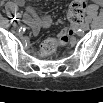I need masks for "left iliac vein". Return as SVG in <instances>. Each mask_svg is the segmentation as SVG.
<instances>
[{"label": "left iliac vein", "mask_w": 103, "mask_h": 103, "mask_svg": "<svg viewBox=\"0 0 103 103\" xmlns=\"http://www.w3.org/2000/svg\"><path fill=\"white\" fill-rule=\"evenodd\" d=\"M81 29H82L83 31L88 30V29H89V24H88V23L82 24V25H81Z\"/></svg>", "instance_id": "obj_1"}]
</instances>
